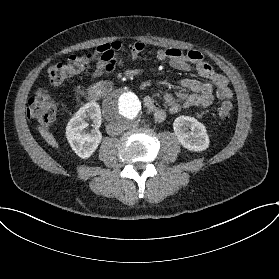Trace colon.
<instances>
[{"label":"colon","instance_id":"1","mask_svg":"<svg viewBox=\"0 0 279 279\" xmlns=\"http://www.w3.org/2000/svg\"><path fill=\"white\" fill-rule=\"evenodd\" d=\"M89 55H71L64 62L51 63L47 67V76L52 85L58 86L65 80L82 74L89 66ZM233 110L232 102L222 99L216 106L217 118L226 120ZM57 105L48 89L38 90L29 100V115L39 123L48 125L54 122Z\"/></svg>","mask_w":279,"mask_h":279}]
</instances>
